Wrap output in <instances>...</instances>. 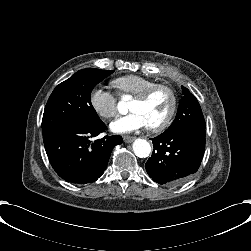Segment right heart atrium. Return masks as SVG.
I'll return each mask as SVG.
<instances>
[{"label":"right heart atrium","instance_id":"obj_1","mask_svg":"<svg viewBox=\"0 0 251 251\" xmlns=\"http://www.w3.org/2000/svg\"><path fill=\"white\" fill-rule=\"evenodd\" d=\"M88 101L92 110L103 118H110L117 112V97L104 87H92Z\"/></svg>","mask_w":251,"mask_h":251}]
</instances>
